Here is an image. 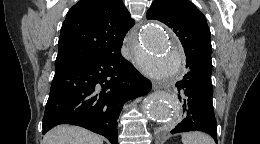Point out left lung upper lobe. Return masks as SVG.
<instances>
[{
    "mask_svg": "<svg viewBox=\"0 0 260 144\" xmlns=\"http://www.w3.org/2000/svg\"><path fill=\"white\" fill-rule=\"evenodd\" d=\"M147 19L165 23L180 39L187 61L212 68L210 30L205 16L188 0H155Z\"/></svg>",
    "mask_w": 260,
    "mask_h": 144,
    "instance_id": "5c2ea615",
    "label": "left lung upper lobe"
}]
</instances>
